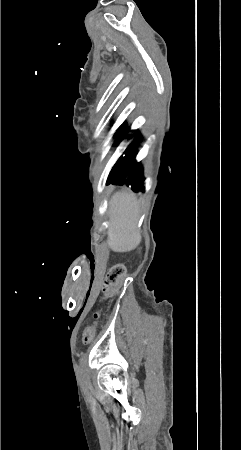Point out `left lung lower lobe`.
Returning <instances> with one entry per match:
<instances>
[{"instance_id":"0a47b994","label":"left lung lower lobe","mask_w":241,"mask_h":450,"mask_svg":"<svg viewBox=\"0 0 241 450\" xmlns=\"http://www.w3.org/2000/svg\"><path fill=\"white\" fill-rule=\"evenodd\" d=\"M130 131L126 125H122L116 133L117 139H123L127 133ZM137 137H140L138 134ZM132 146L126 149L124 152L125 157L121 156L114 167L112 168L109 177L107 179V184H117L131 186L134 191L144 192L143 181L144 177L142 175V168L139 163L134 159L135 150L131 149Z\"/></svg>"}]
</instances>
